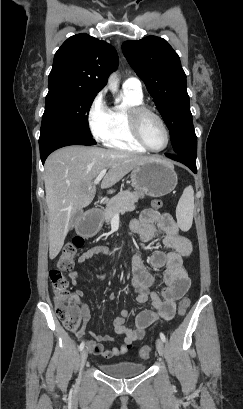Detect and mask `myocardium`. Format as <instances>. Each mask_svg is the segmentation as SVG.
<instances>
[{
	"mask_svg": "<svg viewBox=\"0 0 243 409\" xmlns=\"http://www.w3.org/2000/svg\"><path fill=\"white\" fill-rule=\"evenodd\" d=\"M145 115L153 116L162 125L166 135V143L162 148L155 149L145 141L141 129V121ZM127 118L132 136L142 147L151 152H162L167 149L170 144V131L165 120L157 112L145 105H137L127 110Z\"/></svg>",
	"mask_w": 243,
	"mask_h": 409,
	"instance_id": "myocardium-1",
	"label": "myocardium"
}]
</instances>
